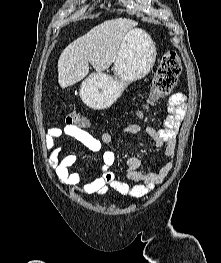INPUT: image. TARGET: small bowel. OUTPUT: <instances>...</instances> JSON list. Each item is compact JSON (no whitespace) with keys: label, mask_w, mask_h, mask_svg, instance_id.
Wrapping results in <instances>:
<instances>
[{"label":"small bowel","mask_w":221,"mask_h":263,"mask_svg":"<svg viewBox=\"0 0 221 263\" xmlns=\"http://www.w3.org/2000/svg\"><path fill=\"white\" fill-rule=\"evenodd\" d=\"M167 112L168 115L159 128L132 123L117 130L118 134L146 133L156 147L165 146V155L170 158L158 171L141 172L139 171L141 163L139 158L134 156L130 157L127 160L125 170V178L127 181L120 180L119 177L110 170L115 162L113 152L106 151L103 153L102 166L99 169H91L84 172H70V168H72L78 160L77 155L69 153L62 156L63 146L56 145L57 139L68 136L80 142L89 150L98 152L104 144L111 142L112 133L104 132L100 138H96L87 131L77 127L67 126L50 129L46 137V147L53 152L51 162L58 180L63 185L69 187L74 193L102 195L107 193L109 189H112L116 192L114 195V199L116 200H118L120 196H127L134 202L144 197L158 184L162 183L173 168L176 155L177 135L186 113L185 95L183 93H175L169 98ZM90 174H96V176L92 180L82 183Z\"/></svg>","instance_id":"small-bowel-1"}]
</instances>
